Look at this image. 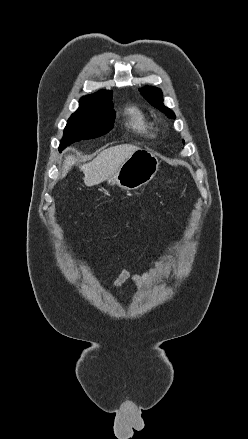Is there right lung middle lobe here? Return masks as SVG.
Returning a JSON list of instances; mask_svg holds the SVG:
<instances>
[{"label":"right lung middle lobe","mask_w":248,"mask_h":439,"mask_svg":"<svg viewBox=\"0 0 248 439\" xmlns=\"http://www.w3.org/2000/svg\"><path fill=\"white\" fill-rule=\"evenodd\" d=\"M113 123L112 109L80 105L67 122L59 150L80 140L100 137L111 130Z\"/></svg>","instance_id":"dd1d6c3e"}]
</instances>
